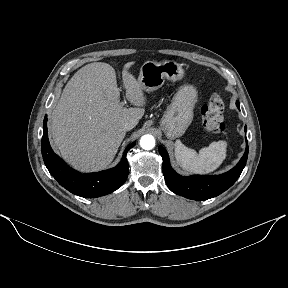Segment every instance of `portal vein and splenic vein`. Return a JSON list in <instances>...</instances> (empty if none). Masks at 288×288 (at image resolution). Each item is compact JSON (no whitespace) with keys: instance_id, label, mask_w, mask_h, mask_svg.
<instances>
[{"instance_id":"18ae733b","label":"portal vein and splenic vein","mask_w":288,"mask_h":288,"mask_svg":"<svg viewBox=\"0 0 288 288\" xmlns=\"http://www.w3.org/2000/svg\"><path fill=\"white\" fill-rule=\"evenodd\" d=\"M120 104L123 106L125 104V102H120Z\"/></svg>"}]
</instances>
